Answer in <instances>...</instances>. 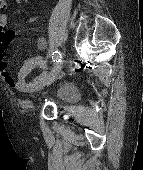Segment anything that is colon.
<instances>
[{
    "instance_id": "1",
    "label": "colon",
    "mask_w": 143,
    "mask_h": 170,
    "mask_svg": "<svg viewBox=\"0 0 143 170\" xmlns=\"http://www.w3.org/2000/svg\"><path fill=\"white\" fill-rule=\"evenodd\" d=\"M5 8V2L4 0H0V10H3Z\"/></svg>"
}]
</instances>
